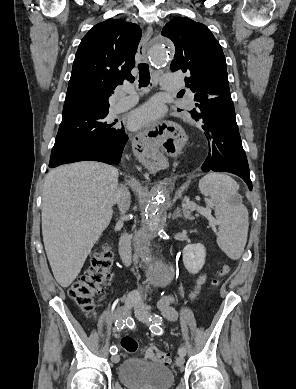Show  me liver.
<instances>
[{"instance_id": "liver-1", "label": "liver", "mask_w": 296, "mask_h": 389, "mask_svg": "<svg viewBox=\"0 0 296 389\" xmlns=\"http://www.w3.org/2000/svg\"><path fill=\"white\" fill-rule=\"evenodd\" d=\"M118 170L84 161L51 170L42 194V235L56 281L64 288L80 273L92 247L108 227Z\"/></svg>"}]
</instances>
